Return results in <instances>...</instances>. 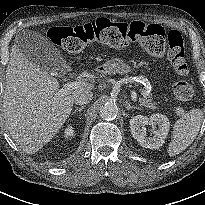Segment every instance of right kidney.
I'll list each match as a JSON object with an SVG mask.
<instances>
[{
    "label": "right kidney",
    "mask_w": 205,
    "mask_h": 205,
    "mask_svg": "<svg viewBox=\"0 0 205 205\" xmlns=\"http://www.w3.org/2000/svg\"><path fill=\"white\" fill-rule=\"evenodd\" d=\"M74 135V130H73V127L72 126H68L65 131H64V136L66 138H70V137H73Z\"/></svg>",
    "instance_id": "obj_1"
}]
</instances>
